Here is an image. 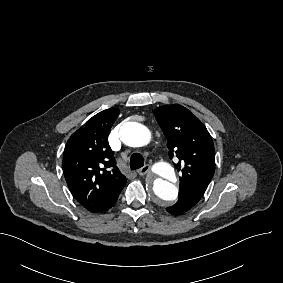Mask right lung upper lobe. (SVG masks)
<instances>
[{
  "instance_id": "cb5924a9",
  "label": "right lung upper lobe",
  "mask_w": 283,
  "mask_h": 283,
  "mask_svg": "<svg viewBox=\"0 0 283 283\" xmlns=\"http://www.w3.org/2000/svg\"><path fill=\"white\" fill-rule=\"evenodd\" d=\"M118 115V109L110 108L93 116L71 135L63 154V172L72 195L94 213L109 208L127 181L107 139Z\"/></svg>"
}]
</instances>
